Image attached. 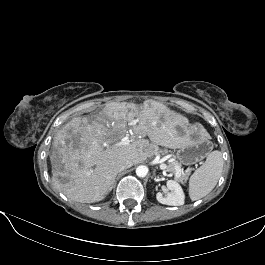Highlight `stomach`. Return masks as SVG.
Instances as JSON below:
<instances>
[{
  "mask_svg": "<svg viewBox=\"0 0 265 265\" xmlns=\"http://www.w3.org/2000/svg\"><path fill=\"white\" fill-rule=\"evenodd\" d=\"M210 148L211 143L208 140L202 137L192 139L189 135L188 143L179 148L177 158L184 165H192L206 157Z\"/></svg>",
  "mask_w": 265,
  "mask_h": 265,
  "instance_id": "0dacf381",
  "label": "stomach"
}]
</instances>
